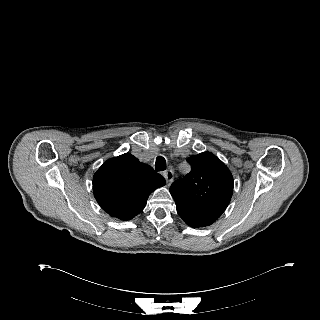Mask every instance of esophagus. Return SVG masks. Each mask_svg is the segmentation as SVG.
<instances>
[{"label": "esophagus", "instance_id": "esophagus-1", "mask_svg": "<svg viewBox=\"0 0 320 320\" xmlns=\"http://www.w3.org/2000/svg\"><path fill=\"white\" fill-rule=\"evenodd\" d=\"M163 176L165 177L167 184L170 185L174 178V172L172 170H167L163 173Z\"/></svg>", "mask_w": 320, "mask_h": 320}]
</instances>
